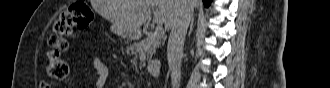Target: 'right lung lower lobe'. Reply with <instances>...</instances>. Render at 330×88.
Returning a JSON list of instances; mask_svg holds the SVG:
<instances>
[{
    "instance_id": "98d812e1",
    "label": "right lung lower lobe",
    "mask_w": 330,
    "mask_h": 88,
    "mask_svg": "<svg viewBox=\"0 0 330 88\" xmlns=\"http://www.w3.org/2000/svg\"><path fill=\"white\" fill-rule=\"evenodd\" d=\"M202 1H203L204 5L206 7H208L210 5V3H211L212 0H202Z\"/></svg>"
}]
</instances>
